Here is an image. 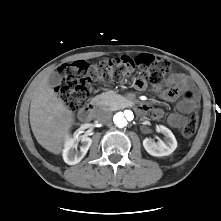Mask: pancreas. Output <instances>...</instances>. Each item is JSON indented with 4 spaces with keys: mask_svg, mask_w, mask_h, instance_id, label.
I'll return each mask as SVG.
<instances>
[{
    "mask_svg": "<svg viewBox=\"0 0 221 221\" xmlns=\"http://www.w3.org/2000/svg\"><path fill=\"white\" fill-rule=\"evenodd\" d=\"M100 104L108 109L117 110L124 104V98L114 91H107L98 96Z\"/></svg>",
    "mask_w": 221,
    "mask_h": 221,
    "instance_id": "1",
    "label": "pancreas"
}]
</instances>
